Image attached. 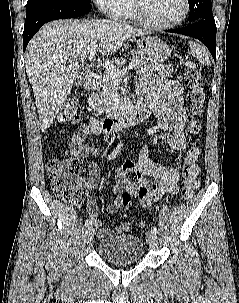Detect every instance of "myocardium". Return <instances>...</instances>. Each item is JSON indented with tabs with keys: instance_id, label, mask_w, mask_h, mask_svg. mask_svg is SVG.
<instances>
[{
	"instance_id": "obj_1",
	"label": "myocardium",
	"mask_w": 239,
	"mask_h": 303,
	"mask_svg": "<svg viewBox=\"0 0 239 303\" xmlns=\"http://www.w3.org/2000/svg\"><path fill=\"white\" fill-rule=\"evenodd\" d=\"M130 1H131V8H132L134 17L144 26L152 28V29H159V30L171 29V28H174V27L178 26L179 24H181L187 18L188 14H189V9H190L189 0H182L183 11L177 19H175L171 22H168V23H155L146 17V15L144 14L143 8L139 3V0H130Z\"/></svg>"
}]
</instances>
